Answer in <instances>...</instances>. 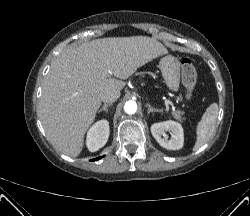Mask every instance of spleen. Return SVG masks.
Returning <instances> with one entry per match:
<instances>
[{
    "instance_id": "1",
    "label": "spleen",
    "mask_w": 250,
    "mask_h": 216,
    "mask_svg": "<svg viewBox=\"0 0 250 216\" xmlns=\"http://www.w3.org/2000/svg\"><path fill=\"white\" fill-rule=\"evenodd\" d=\"M218 111L219 108L217 103H212L206 109L201 121L198 123L196 128L197 138L193 147V151H197L199 148H201L215 132Z\"/></svg>"
}]
</instances>
